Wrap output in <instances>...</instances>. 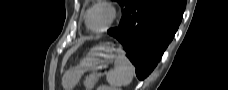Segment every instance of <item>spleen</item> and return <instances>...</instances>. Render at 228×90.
I'll return each instance as SVG.
<instances>
[{
  "mask_svg": "<svg viewBox=\"0 0 228 90\" xmlns=\"http://www.w3.org/2000/svg\"><path fill=\"white\" fill-rule=\"evenodd\" d=\"M135 68L125 56L122 48L117 49L114 69L106 75V80L111 86H125L131 83Z\"/></svg>",
  "mask_w": 228,
  "mask_h": 90,
  "instance_id": "1",
  "label": "spleen"
}]
</instances>
